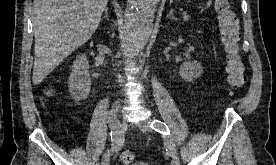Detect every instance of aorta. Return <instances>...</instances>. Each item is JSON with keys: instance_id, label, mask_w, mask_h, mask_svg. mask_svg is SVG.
I'll use <instances>...</instances> for the list:
<instances>
[{"instance_id": "obj_1", "label": "aorta", "mask_w": 276, "mask_h": 165, "mask_svg": "<svg viewBox=\"0 0 276 165\" xmlns=\"http://www.w3.org/2000/svg\"><path fill=\"white\" fill-rule=\"evenodd\" d=\"M160 0H128L125 14V51L133 56L147 43L153 30L156 6Z\"/></svg>"}]
</instances>
